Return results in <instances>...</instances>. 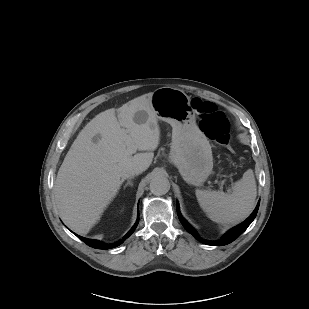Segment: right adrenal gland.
<instances>
[{"label": "right adrenal gland", "mask_w": 309, "mask_h": 309, "mask_svg": "<svg viewBox=\"0 0 309 309\" xmlns=\"http://www.w3.org/2000/svg\"><path fill=\"white\" fill-rule=\"evenodd\" d=\"M132 179H134V176L130 177L128 180H127V183L124 185V189L127 187V186H133V183H132Z\"/></svg>", "instance_id": "obj_1"}]
</instances>
